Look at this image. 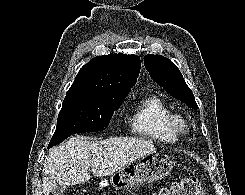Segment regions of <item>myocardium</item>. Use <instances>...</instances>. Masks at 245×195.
I'll use <instances>...</instances> for the list:
<instances>
[{
  "label": "myocardium",
  "instance_id": "myocardium-1",
  "mask_svg": "<svg viewBox=\"0 0 245 195\" xmlns=\"http://www.w3.org/2000/svg\"><path fill=\"white\" fill-rule=\"evenodd\" d=\"M167 128L176 136L185 134L188 129L187 121L179 114H171L166 120Z\"/></svg>",
  "mask_w": 245,
  "mask_h": 195
}]
</instances>
